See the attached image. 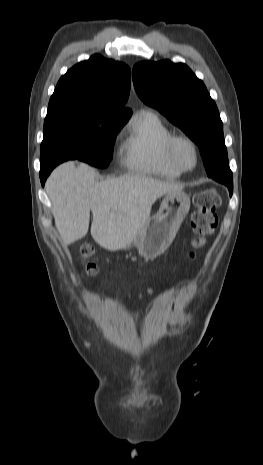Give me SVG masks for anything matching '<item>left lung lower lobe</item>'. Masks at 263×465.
<instances>
[{"label": "left lung lower lobe", "instance_id": "obj_1", "mask_svg": "<svg viewBox=\"0 0 263 465\" xmlns=\"http://www.w3.org/2000/svg\"><path fill=\"white\" fill-rule=\"evenodd\" d=\"M203 160H204V163H205L207 174L210 177L214 178L216 176L214 168L216 166H219V162L216 159H214L213 157H207V156L203 157Z\"/></svg>", "mask_w": 263, "mask_h": 465}]
</instances>
